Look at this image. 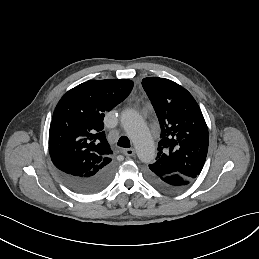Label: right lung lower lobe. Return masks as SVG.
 <instances>
[{"label":"right lung lower lobe","mask_w":259,"mask_h":259,"mask_svg":"<svg viewBox=\"0 0 259 259\" xmlns=\"http://www.w3.org/2000/svg\"><path fill=\"white\" fill-rule=\"evenodd\" d=\"M115 172V163L110 162L98 172L89 176H77L58 170L60 178L72 190L82 194H93L105 189Z\"/></svg>","instance_id":"right-lung-lower-lobe-1"}]
</instances>
